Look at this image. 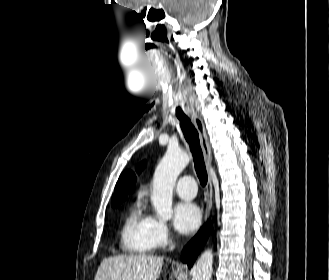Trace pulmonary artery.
<instances>
[{"instance_id": "1", "label": "pulmonary artery", "mask_w": 329, "mask_h": 280, "mask_svg": "<svg viewBox=\"0 0 329 280\" xmlns=\"http://www.w3.org/2000/svg\"><path fill=\"white\" fill-rule=\"evenodd\" d=\"M175 190L181 198L190 200L196 196L197 185L192 176L184 175L176 182Z\"/></svg>"}]
</instances>
